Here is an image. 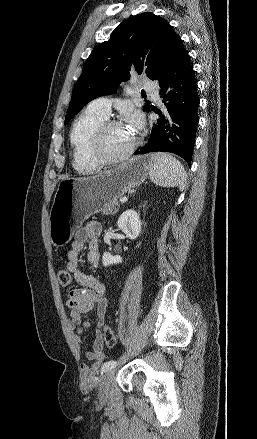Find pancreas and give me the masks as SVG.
<instances>
[{
    "mask_svg": "<svg viewBox=\"0 0 257 439\" xmlns=\"http://www.w3.org/2000/svg\"><path fill=\"white\" fill-rule=\"evenodd\" d=\"M119 206L120 205L117 200H113L110 203L104 205L100 211L104 215H114L115 213H117Z\"/></svg>",
    "mask_w": 257,
    "mask_h": 439,
    "instance_id": "pancreas-1",
    "label": "pancreas"
}]
</instances>
